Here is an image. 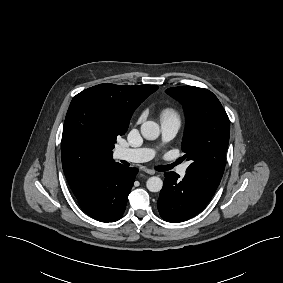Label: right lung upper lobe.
<instances>
[{"mask_svg": "<svg viewBox=\"0 0 283 283\" xmlns=\"http://www.w3.org/2000/svg\"><path fill=\"white\" fill-rule=\"evenodd\" d=\"M157 89L158 86L151 85L127 86L104 83L82 92L98 101L115 102L123 107L127 115H131L141 102ZM61 153L63 170L74 195L80 192L97 165L113 161L112 151L87 148L78 141L66 124L63 128Z\"/></svg>", "mask_w": 283, "mask_h": 283, "instance_id": "right-lung-upper-lobe-1", "label": "right lung upper lobe"}]
</instances>
